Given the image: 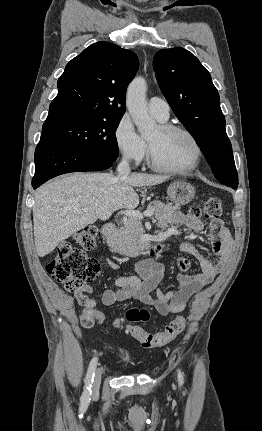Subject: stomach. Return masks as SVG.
Masks as SVG:
<instances>
[{"label":"stomach","instance_id":"1","mask_svg":"<svg viewBox=\"0 0 262 431\" xmlns=\"http://www.w3.org/2000/svg\"><path fill=\"white\" fill-rule=\"evenodd\" d=\"M195 188L181 180L171 183L167 188V195L171 202L176 205L188 204L195 196Z\"/></svg>","mask_w":262,"mask_h":431}]
</instances>
